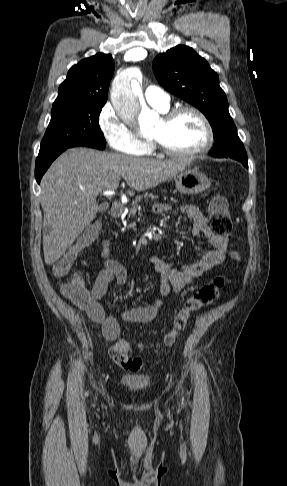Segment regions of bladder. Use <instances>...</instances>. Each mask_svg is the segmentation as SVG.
I'll use <instances>...</instances> for the list:
<instances>
[{
  "label": "bladder",
  "mask_w": 287,
  "mask_h": 486,
  "mask_svg": "<svg viewBox=\"0 0 287 486\" xmlns=\"http://www.w3.org/2000/svg\"><path fill=\"white\" fill-rule=\"evenodd\" d=\"M121 384L132 391H141L150 385V378L142 375H124Z\"/></svg>",
  "instance_id": "obj_1"
}]
</instances>
